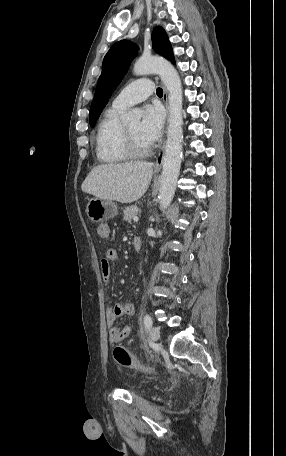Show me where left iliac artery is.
Here are the masks:
<instances>
[{
	"mask_svg": "<svg viewBox=\"0 0 286 456\" xmlns=\"http://www.w3.org/2000/svg\"><path fill=\"white\" fill-rule=\"evenodd\" d=\"M144 324L146 329H150L152 326V318L148 314L144 315Z\"/></svg>",
	"mask_w": 286,
	"mask_h": 456,
	"instance_id": "44dca946",
	"label": "left iliac artery"
}]
</instances>
